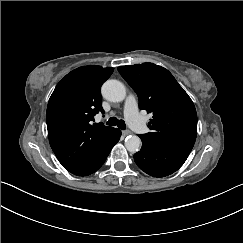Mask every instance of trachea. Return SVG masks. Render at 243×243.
Segmentation results:
<instances>
[{
	"label": "trachea",
	"mask_w": 243,
	"mask_h": 243,
	"mask_svg": "<svg viewBox=\"0 0 243 243\" xmlns=\"http://www.w3.org/2000/svg\"><path fill=\"white\" fill-rule=\"evenodd\" d=\"M107 125L110 126H118L121 130L125 129V122L121 119H118L117 117H111L109 118Z\"/></svg>",
	"instance_id": "1"
}]
</instances>
